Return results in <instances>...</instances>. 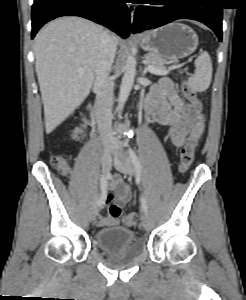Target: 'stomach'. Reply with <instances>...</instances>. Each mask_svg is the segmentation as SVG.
<instances>
[{"instance_id":"1","label":"stomach","mask_w":246,"mask_h":300,"mask_svg":"<svg viewBox=\"0 0 246 300\" xmlns=\"http://www.w3.org/2000/svg\"><path fill=\"white\" fill-rule=\"evenodd\" d=\"M139 43L150 54L176 62L196 50L198 36L191 27L173 22L143 34Z\"/></svg>"}]
</instances>
